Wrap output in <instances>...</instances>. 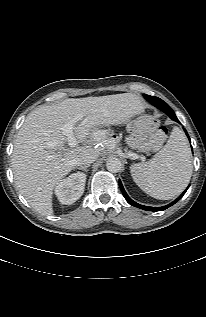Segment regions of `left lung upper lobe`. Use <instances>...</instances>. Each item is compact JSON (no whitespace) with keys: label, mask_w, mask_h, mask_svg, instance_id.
<instances>
[{"label":"left lung upper lobe","mask_w":206,"mask_h":317,"mask_svg":"<svg viewBox=\"0 0 206 317\" xmlns=\"http://www.w3.org/2000/svg\"><path fill=\"white\" fill-rule=\"evenodd\" d=\"M144 97L149 100H153L154 102L160 104L161 106H163L164 108H166L168 111H173L169 105L167 103H165L162 99L158 98V97H155V96H150V95H144Z\"/></svg>","instance_id":"1"}]
</instances>
